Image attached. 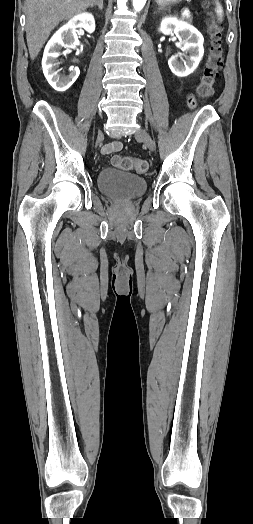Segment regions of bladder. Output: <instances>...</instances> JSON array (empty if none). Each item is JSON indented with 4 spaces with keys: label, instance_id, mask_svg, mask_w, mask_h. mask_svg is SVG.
<instances>
[{
    "label": "bladder",
    "instance_id": "31cf9c89",
    "mask_svg": "<svg viewBox=\"0 0 253 524\" xmlns=\"http://www.w3.org/2000/svg\"><path fill=\"white\" fill-rule=\"evenodd\" d=\"M97 186L102 195L119 201H132L147 190L144 177L128 172L104 168L97 175Z\"/></svg>",
    "mask_w": 253,
    "mask_h": 524
}]
</instances>
